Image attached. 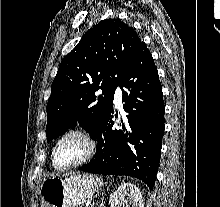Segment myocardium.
Returning a JSON list of instances; mask_svg holds the SVG:
<instances>
[{"label": "myocardium", "instance_id": "myocardium-1", "mask_svg": "<svg viewBox=\"0 0 220 207\" xmlns=\"http://www.w3.org/2000/svg\"><path fill=\"white\" fill-rule=\"evenodd\" d=\"M70 136H77V137L81 138L86 143V146H87L86 152L81 159H79L78 161H76L74 163L67 164V165H58L56 162V150H57L58 146L60 145V143L64 139H66L67 137H70ZM96 151H97V142H96L95 138L87 130H85L83 128L75 127V128L67 129L66 131L61 133L60 136L56 139V141L52 147V151H51V160H52L53 166L56 169L69 170V169L76 168V167H79V166L87 163L89 160L92 159V157L95 155Z\"/></svg>", "mask_w": 220, "mask_h": 207}]
</instances>
